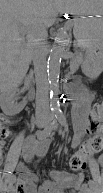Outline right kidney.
Segmentation results:
<instances>
[{"instance_id":"obj_1","label":"right kidney","mask_w":103,"mask_h":193,"mask_svg":"<svg viewBox=\"0 0 103 193\" xmlns=\"http://www.w3.org/2000/svg\"><path fill=\"white\" fill-rule=\"evenodd\" d=\"M18 91L17 83L3 81L0 90V107L4 114L13 116L18 114L24 105L15 103V95Z\"/></svg>"}]
</instances>
